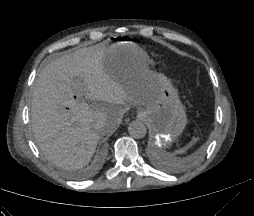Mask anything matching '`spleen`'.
<instances>
[{"label":"spleen","mask_w":254,"mask_h":216,"mask_svg":"<svg viewBox=\"0 0 254 216\" xmlns=\"http://www.w3.org/2000/svg\"><path fill=\"white\" fill-rule=\"evenodd\" d=\"M195 141H196V139H193V141L190 144H188L187 147H185L175 153H168V152L163 151L161 149H157V156L167 165L175 166L178 162V158L175 155L184 153L187 150V148L189 146H191Z\"/></svg>","instance_id":"3e777b00"}]
</instances>
